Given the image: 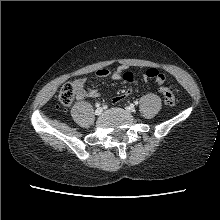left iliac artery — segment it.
<instances>
[{"label": "left iliac artery", "mask_w": 220, "mask_h": 220, "mask_svg": "<svg viewBox=\"0 0 220 220\" xmlns=\"http://www.w3.org/2000/svg\"><path fill=\"white\" fill-rule=\"evenodd\" d=\"M134 104L137 105V104H138V101H135Z\"/></svg>", "instance_id": "1"}]
</instances>
